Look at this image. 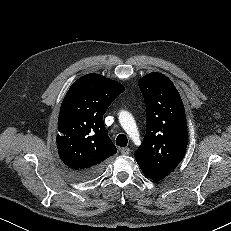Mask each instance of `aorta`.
<instances>
[{
  "instance_id": "aorta-1",
  "label": "aorta",
  "mask_w": 231,
  "mask_h": 231,
  "mask_svg": "<svg viewBox=\"0 0 231 231\" xmlns=\"http://www.w3.org/2000/svg\"><path fill=\"white\" fill-rule=\"evenodd\" d=\"M119 122L130 138L133 140L139 139L138 128L133 116L129 112L121 111L119 113Z\"/></svg>"
}]
</instances>
